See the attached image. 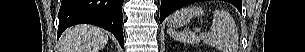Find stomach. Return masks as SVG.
<instances>
[{
  "label": "stomach",
  "mask_w": 305,
  "mask_h": 52,
  "mask_svg": "<svg viewBox=\"0 0 305 52\" xmlns=\"http://www.w3.org/2000/svg\"><path fill=\"white\" fill-rule=\"evenodd\" d=\"M205 9L200 6L186 7L175 11L167 19V23L171 27L186 26L194 17L203 15Z\"/></svg>",
  "instance_id": "0dacf381"
}]
</instances>
